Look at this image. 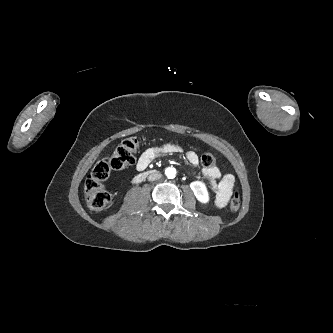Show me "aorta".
<instances>
[{
  "label": "aorta",
  "instance_id": "762f6f07",
  "mask_svg": "<svg viewBox=\"0 0 333 333\" xmlns=\"http://www.w3.org/2000/svg\"><path fill=\"white\" fill-rule=\"evenodd\" d=\"M165 175L169 178V179H173L176 176V169L169 167L165 170Z\"/></svg>",
  "mask_w": 333,
  "mask_h": 333
}]
</instances>
